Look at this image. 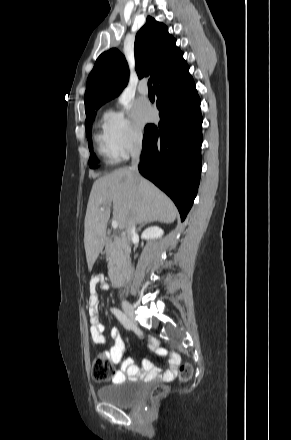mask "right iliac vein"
Listing matches in <instances>:
<instances>
[{
  "instance_id": "obj_1",
  "label": "right iliac vein",
  "mask_w": 291,
  "mask_h": 440,
  "mask_svg": "<svg viewBox=\"0 0 291 440\" xmlns=\"http://www.w3.org/2000/svg\"><path fill=\"white\" fill-rule=\"evenodd\" d=\"M122 308L129 319L134 320V308L128 301L122 302Z\"/></svg>"
}]
</instances>
